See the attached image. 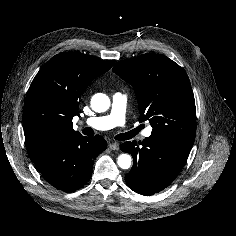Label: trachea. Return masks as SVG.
<instances>
[{
  "mask_svg": "<svg viewBox=\"0 0 236 236\" xmlns=\"http://www.w3.org/2000/svg\"><path fill=\"white\" fill-rule=\"evenodd\" d=\"M83 133L85 135H88V136H93L94 135V131L92 128L90 127H86L84 130H83ZM132 138V134L131 133H124V134H119V135H116L115 136V139L116 140H128Z\"/></svg>",
  "mask_w": 236,
  "mask_h": 236,
  "instance_id": "trachea-1",
  "label": "trachea"
}]
</instances>
